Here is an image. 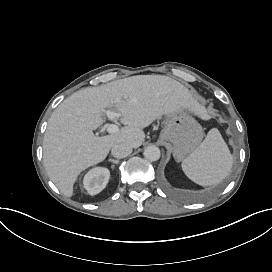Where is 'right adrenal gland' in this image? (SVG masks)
<instances>
[{
    "label": "right adrenal gland",
    "instance_id": "2a0ac1e0",
    "mask_svg": "<svg viewBox=\"0 0 272 272\" xmlns=\"http://www.w3.org/2000/svg\"><path fill=\"white\" fill-rule=\"evenodd\" d=\"M108 161L112 162V163H114L116 165L120 162V160H115V159H109Z\"/></svg>",
    "mask_w": 272,
    "mask_h": 272
}]
</instances>
